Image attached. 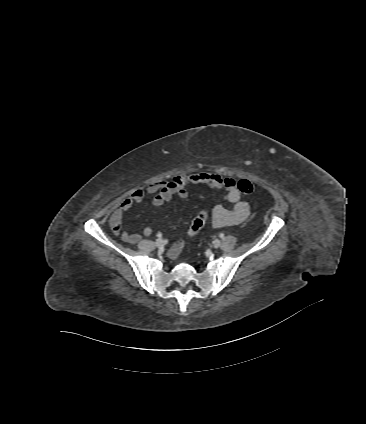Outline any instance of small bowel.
<instances>
[{
	"instance_id": "small-bowel-1",
	"label": "small bowel",
	"mask_w": 366,
	"mask_h": 424,
	"mask_svg": "<svg viewBox=\"0 0 366 424\" xmlns=\"http://www.w3.org/2000/svg\"><path fill=\"white\" fill-rule=\"evenodd\" d=\"M191 185H205L212 189L224 190L228 201L233 204L231 209L220 204L213 207L211 219L213 227L222 228L237 225L246 221L249 217L250 205L248 202L241 200L242 193L238 189V181L235 178L207 172L182 174L174 176L169 181H159L151 183L144 188L135 189L123 198L109 220L112 232L126 243L136 244L140 242L142 239L140 234L128 232L122 226L126 211L142 202L145 195L153 196L152 205L157 208L170 202L174 196L187 199L189 197L188 188ZM152 233L153 229L149 226L143 229L144 236H150ZM182 248L183 241H177L170 249V257H177Z\"/></svg>"
}]
</instances>
